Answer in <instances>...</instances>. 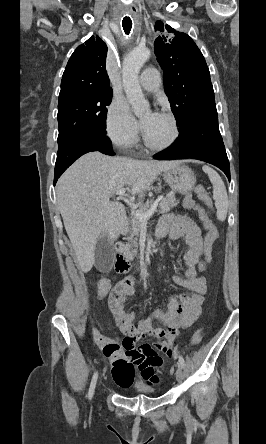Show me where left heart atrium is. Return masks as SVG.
Wrapping results in <instances>:
<instances>
[{
    "label": "left heart atrium",
    "mask_w": 266,
    "mask_h": 444,
    "mask_svg": "<svg viewBox=\"0 0 266 444\" xmlns=\"http://www.w3.org/2000/svg\"><path fill=\"white\" fill-rule=\"evenodd\" d=\"M158 115L157 112H152L150 113L149 117L147 119H145L144 121H142V126L143 128L147 127L153 120L154 118Z\"/></svg>",
    "instance_id": "39dd6f15"
}]
</instances>
